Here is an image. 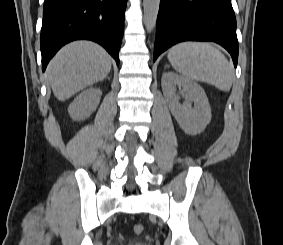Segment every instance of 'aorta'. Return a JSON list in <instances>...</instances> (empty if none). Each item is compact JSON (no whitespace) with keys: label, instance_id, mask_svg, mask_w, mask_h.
Here are the masks:
<instances>
[{"label":"aorta","instance_id":"762f6f07","mask_svg":"<svg viewBox=\"0 0 283 245\" xmlns=\"http://www.w3.org/2000/svg\"><path fill=\"white\" fill-rule=\"evenodd\" d=\"M160 0H143L144 24L148 32L156 26Z\"/></svg>","mask_w":283,"mask_h":245}]
</instances>
